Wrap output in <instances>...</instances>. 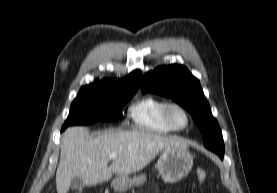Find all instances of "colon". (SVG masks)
Segmentation results:
<instances>
[{"label":"colon","instance_id":"1","mask_svg":"<svg viewBox=\"0 0 277 193\" xmlns=\"http://www.w3.org/2000/svg\"><path fill=\"white\" fill-rule=\"evenodd\" d=\"M197 178L200 182H204L207 178L206 171L203 169H198L197 170ZM76 193H78V192H76Z\"/></svg>","mask_w":277,"mask_h":193}]
</instances>
